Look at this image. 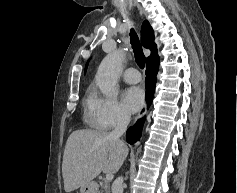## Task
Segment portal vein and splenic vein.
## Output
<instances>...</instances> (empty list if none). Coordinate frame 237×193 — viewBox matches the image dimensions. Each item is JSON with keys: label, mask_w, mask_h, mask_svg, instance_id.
Here are the masks:
<instances>
[{"label": "portal vein and splenic vein", "mask_w": 237, "mask_h": 193, "mask_svg": "<svg viewBox=\"0 0 237 193\" xmlns=\"http://www.w3.org/2000/svg\"><path fill=\"white\" fill-rule=\"evenodd\" d=\"M113 178H114L113 173H110V172H109V173L106 174V180H107V181H111V180H113Z\"/></svg>", "instance_id": "1"}]
</instances>
